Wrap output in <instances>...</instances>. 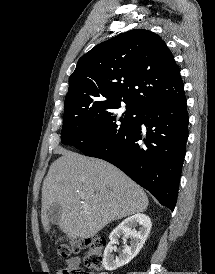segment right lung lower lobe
I'll list each match as a JSON object with an SVG mask.
<instances>
[{"label":"right lung lower lobe","mask_w":215,"mask_h":274,"mask_svg":"<svg viewBox=\"0 0 215 274\" xmlns=\"http://www.w3.org/2000/svg\"><path fill=\"white\" fill-rule=\"evenodd\" d=\"M188 138L186 97L148 104L136 122L106 143L83 152L117 166L173 210Z\"/></svg>","instance_id":"98d812e1"}]
</instances>
